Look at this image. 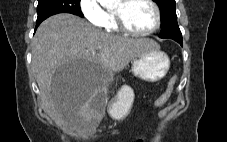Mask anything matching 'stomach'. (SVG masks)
<instances>
[{
  "instance_id": "0dacf381",
  "label": "stomach",
  "mask_w": 227,
  "mask_h": 142,
  "mask_svg": "<svg viewBox=\"0 0 227 142\" xmlns=\"http://www.w3.org/2000/svg\"><path fill=\"white\" fill-rule=\"evenodd\" d=\"M170 60L167 54L159 48H152L137 55L132 60L131 71L133 75L147 82H156L168 72ZM134 100L133 90L123 85L117 92L109 106L111 116L122 120L129 114Z\"/></svg>"
}]
</instances>
